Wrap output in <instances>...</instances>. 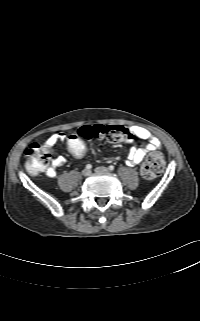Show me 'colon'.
<instances>
[{"label": "colon", "instance_id": "colon-1", "mask_svg": "<svg viewBox=\"0 0 200 321\" xmlns=\"http://www.w3.org/2000/svg\"><path fill=\"white\" fill-rule=\"evenodd\" d=\"M106 140L112 143L129 142L132 133L128 128L120 125H84L74 135L65 139L64 145L71 152L74 159L80 160L85 157V140ZM27 157L26 166L30 173L37 174L42 171L50 160L48 149L39 143H32L25 151ZM164 169L163 156L154 152L150 154L141 167V175L146 180L158 177Z\"/></svg>", "mask_w": 200, "mask_h": 321}]
</instances>
